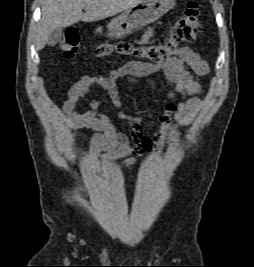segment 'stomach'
<instances>
[{"label": "stomach", "instance_id": "1", "mask_svg": "<svg viewBox=\"0 0 254 267\" xmlns=\"http://www.w3.org/2000/svg\"><path fill=\"white\" fill-rule=\"evenodd\" d=\"M175 5V0H144L108 23V36L115 39L122 38L135 29L157 21Z\"/></svg>", "mask_w": 254, "mask_h": 267}]
</instances>
